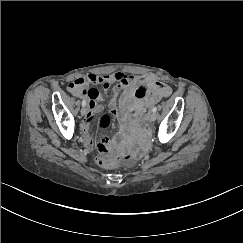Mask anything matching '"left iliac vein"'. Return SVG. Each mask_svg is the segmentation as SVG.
<instances>
[{
  "label": "left iliac vein",
  "mask_w": 243,
  "mask_h": 243,
  "mask_svg": "<svg viewBox=\"0 0 243 243\" xmlns=\"http://www.w3.org/2000/svg\"><path fill=\"white\" fill-rule=\"evenodd\" d=\"M156 118H157V114H156V113H152V114L150 115V117H149V120H150L151 122H154V121L156 120Z\"/></svg>",
  "instance_id": "left-iliac-vein-1"
}]
</instances>
